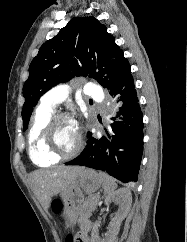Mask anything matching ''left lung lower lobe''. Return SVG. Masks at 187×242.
Listing matches in <instances>:
<instances>
[{"label": "left lung lower lobe", "instance_id": "left-lung-lower-lobe-1", "mask_svg": "<svg viewBox=\"0 0 187 242\" xmlns=\"http://www.w3.org/2000/svg\"><path fill=\"white\" fill-rule=\"evenodd\" d=\"M110 95L119 108L105 135L97 139L88 132L85 149L66 165L101 170L124 183L136 182L143 153L144 125L132 75L116 84Z\"/></svg>", "mask_w": 187, "mask_h": 242}]
</instances>
